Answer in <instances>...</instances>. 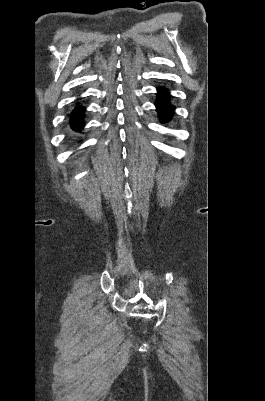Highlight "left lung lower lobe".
Segmentation results:
<instances>
[{
    "instance_id": "obj_1",
    "label": "left lung lower lobe",
    "mask_w": 265,
    "mask_h": 401,
    "mask_svg": "<svg viewBox=\"0 0 265 401\" xmlns=\"http://www.w3.org/2000/svg\"><path fill=\"white\" fill-rule=\"evenodd\" d=\"M158 99L156 102V107L159 113V118L161 122H167L171 119L174 107L168 101V91L164 87L158 88Z\"/></svg>"
}]
</instances>
